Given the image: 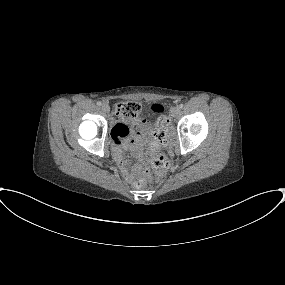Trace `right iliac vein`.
I'll return each instance as SVG.
<instances>
[{"label":"right iliac vein","instance_id":"obj_1","mask_svg":"<svg viewBox=\"0 0 285 285\" xmlns=\"http://www.w3.org/2000/svg\"><path fill=\"white\" fill-rule=\"evenodd\" d=\"M101 109H102L104 112H106V113H108V112L110 111V107H109L108 104H103V105L101 106Z\"/></svg>","mask_w":285,"mask_h":285}]
</instances>
